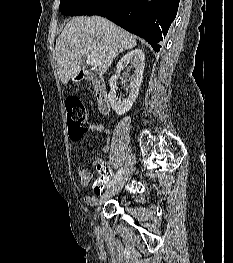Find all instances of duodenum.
Wrapping results in <instances>:
<instances>
[{"mask_svg": "<svg viewBox=\"0 0 233 263\" xmlns=\"http://www.w3.org/2000/svg\"><path fill=\"white\" fill-rule=\"evenodd\" d=\"M89 76L85 74L84 72H80L77 75V79L82 80V79H87ZM94 93H95V99H96V104L98 107V110L102 114H106L110 110V103L108 99V93L105 87V84L102 79L100 78H94Z\"/></svg>", "mask_w": 233, "mask_h": 263, "instance_id": "1", "label": "duodenum"}]
</instances>
